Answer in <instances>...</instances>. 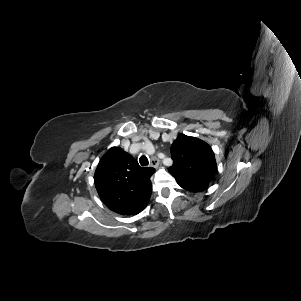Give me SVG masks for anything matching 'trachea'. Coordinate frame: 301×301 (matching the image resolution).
<instances>
[{"mask_svg": "<svg viewBox=\"0 0 301 301\" xmlns=\"http://www.w3.org/2000/svg\"><path fill=\"white\" fill-rule=\"evenodd\" d=\"M139 162L142 166H147L149 164L148 158L144 155L139 158Z\"/></svg>", "mask_w": 301, "mask_h": 301, "instance_id": "1", "label": "trachea"}]
</instances>
